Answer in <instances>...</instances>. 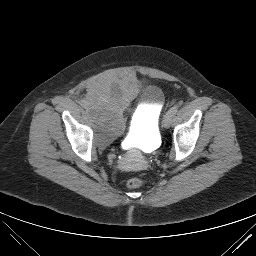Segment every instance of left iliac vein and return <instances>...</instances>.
<instances>
[{"label": "left iliac vein", "mask_w": 256, "mask_h": 256, "mask_svg": "<svg viewBox=\"0 0 256 256\" xmlns=\"http://www.w3.org/2000/svg\"><path fill=\"white\" fill-rule=\"evenodd\" d=\"M173 114L170 112V111H168L167 113H166V115H165V117H164V120H163V126L165 127V128H169L170 127V125H171V122H172V119H173Z\"/></svg>", "instance_id": "obj_1"}]
</instances>
